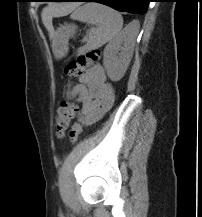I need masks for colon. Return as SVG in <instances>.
Instances as JSON below:
<instances>
[{
	"label": "colon",
	"instance_id": "5ec220e1",
	"mask_svg": "<svg viewBox=\"0 0 202 217\" xmlns=\"http://www.w3.org/2000/svg\"><path fill=\"white\" fill-rule=\"evenodd\" d=\"M99 58L100 51L98 50H91L85 54L79 55L75 60L67 64L65 67V73L71 77H78L89 65L97 62ZM76 110V105L71 101L65 100L61 103L55 117V129L56 134L59 137H62L66 130L69 128ZM82 131L83 128L81 124H74L69 131V137L71 141H78L82 134Z\"/></svg>",
	"mask_w": 202,
	"mask_h": 217
}]
</instances>
